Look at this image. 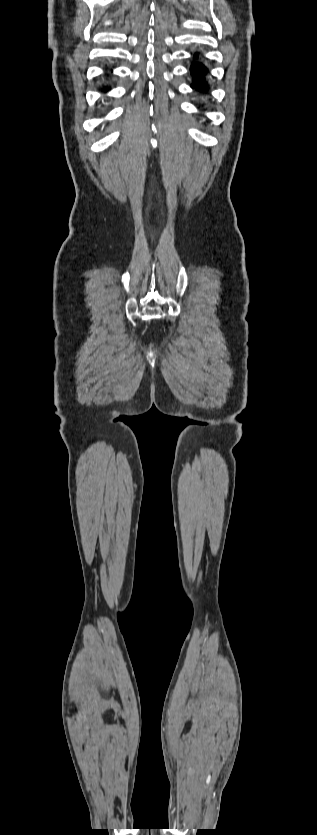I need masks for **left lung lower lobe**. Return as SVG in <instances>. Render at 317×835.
I'll return each mask as SVG.
<instances>
[{
  "mask_svg": "<svg viewBox=\"0 0 317 835\" xmlns=\"http://www.w3.org/2000/svg\"><path fill=\"white\" fill-rule=\"evenodd\" d=\"M198 56H199L198 53L194 54V58H198ZM205 73H206V68L202 63H199V62H196V61H193L191 63V74L193 76V78H192L193 84H191L192 88H196V89H200V90L207 89L206 83L203 80Z\"/></svg>",
  "mask_w": 317,
  "mask_h": 835,
  "instance_id": "left-lung-lower-lobe-1",
  "label": "left lung lower lobe"
}]
</instances>
